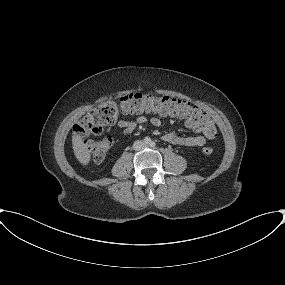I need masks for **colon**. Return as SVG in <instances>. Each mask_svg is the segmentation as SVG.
<instances>
[{
    "label": "colon",
    "instance_id": "colon-1",
    "mask_svg": "<svg viewBox=\"0 0 285 285\" xmlns=\"http://www.w3.org/2000/svg\"><path fill=\"white\" fill-rule=\"evenodd\" d=\"M119 112L129 114L154 112L173 115L187 120L193 127L208 136L215 137L217 133L212 117L185 100L153 93H128L121 96L117 102H106L96 106L74 126L75 137L89 148L96 162L105 159L111 148V140L92 142L90 137L100 134L106 126L114 124ZM213 151L214 149L210 146L203 148V153L206 155H211Z\"/></svg>",
    "mask_w": 285,
    "mask_h": 285
}]
</instances>
